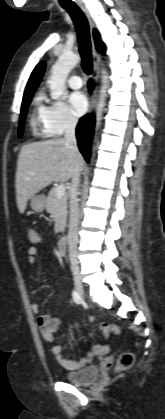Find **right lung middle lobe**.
<instances>
[{
  "mask_svg": "<svg viewBox=\"0 0 165 419\" xmlns=\"http://www.w3.org/2000/svg\"><path fill=\"white\" fill-rule=\"evenodd\" d=\"M32 96L24 99L22 101V106H21V113H20V122H19V128H18V132H19V137L22 135L23 132V127H24V118L27 114V108L31 102Z\"/></svg>",
  "mask_w": 165,
  "mask_h": 419,
  "instance_id": "obj_1",
  "label": "right lung middle lobe"
}]
</instances>
